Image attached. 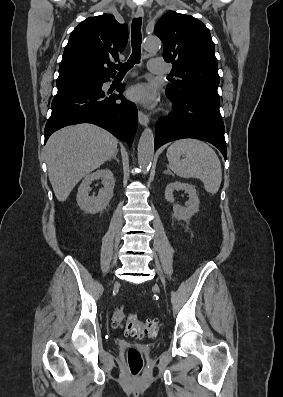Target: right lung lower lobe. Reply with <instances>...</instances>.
I'll return each instance as SVG.
<instances>
[{"mask_svg": "<svg viewBox=\"0 0 283 397\" xmlns=\"http://www.w3.org/2000/svg\"><path fill=\"white\" fill-rule=\"evenodd\" d=\"M108 80L58 90L45 126V142L53 132L67 125L92 123L131 146L138 124L136 107L122 94L106 97L102 85ZM123 89L124 85H121L118 91L121 93ZM119 99L122 101L118 102Z\"/></svg>", "mask_w": 283, "mask_h": 397, "instance_id": "right-lung-lower-lobe-1", "label": "right lung lower lobe"}]
</instances>
